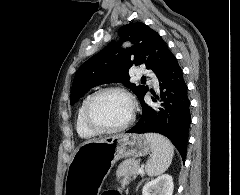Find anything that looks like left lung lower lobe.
<instances>
[{"label": "left lung lower lobe", "mask_w": 240, "mask_h": 195, "mask_svg": "<svg viewBox=\"0 0 240 195\" xmlns=\"http://www.w3.org/2000/svg\"><path fill=\"white\" fill-rule=\"evenodd\" d=\"M156 77L160 96L152 98L153 104L144 101L140 120L127 133H160L171 140L184 161L191 124L190 100L182 69L173 54Z\"/></svg>", "instance_id": "left-lung-lower-lobe-1"}]
</instances>
